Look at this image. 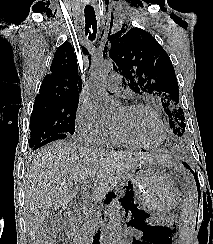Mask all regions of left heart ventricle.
I'll return each mask as SVG.
<instances>
[{
  "instance_id": "1",
  "label": "left heart ventricle",
  "mask_w": 213,
  "mask_h": 244,
  "mask_svg": "<svg viewBox=\"0 0 213 244\" xmlns=\"http://www.w3.org/2000/svg\"><path fill=\"white\" fill-rule=\"evenodd\" d=\"M112 123L125 137L133 141L154 144L162 137L160 124L146 110L121 108L112 118Z\"/></svg>"
}]
</instances>
